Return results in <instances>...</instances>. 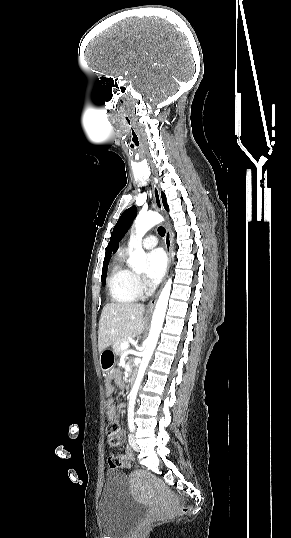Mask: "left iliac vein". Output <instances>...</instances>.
Returning a JSON list of instances; mask_svg holds the SVG:
<instances>
[{"instance_id":"1","label":"left iliac vein","mask_w":291,"mask_h":538,"mask_svg":"<svg viewBox=\"0 0 291 538\" xmlns=\"http://www.w3.org/2000/svg\"><path fill=\"white\" fill-rule=\"evenodd\" d=\"M129 443H130V446L133 448V450L139 451V446L136 443L135 437H134L133 434H130V436H129Z\"/></svg>"}]
</instances>
